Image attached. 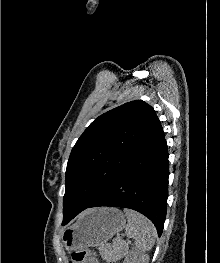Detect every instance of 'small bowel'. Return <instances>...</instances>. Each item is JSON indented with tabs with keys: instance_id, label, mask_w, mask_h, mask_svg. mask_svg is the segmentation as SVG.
Instances as JSON below:
<instances>
[{
	"instance_id": "obj_1",
	"label": "small bowel",
	"mask_w": 220,
	"mask_h": 263,
	"mask_svg": "<svg viewBox=\"0 0 220 263\" xmlns=\"http://www.w3.org/2000/svg\"><path fill=\"white\" fill-rule=\"evenodd\" d=\"M86 263H98L96 258H90Z\"/></svg>"
}]
</instances>
